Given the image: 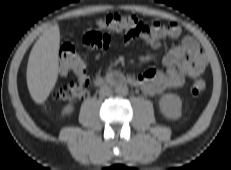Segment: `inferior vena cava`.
<instances>
[{
    "mask_svg": "<svg viewBox=\"0 0 231 170\" xmlns=\"http://www.w3.org/2000/svg\"><path fill=\"white\" fill-rule=\"evenodd\" d=\"M112 89L109 86H102L99 90L100 97H109L112 95Z\"/></svg>",
    "mask_w": 231,
    "mask_h": 170,
    "instance_id": "1",
    "label": "inferior vena cava"
}]
</instances>
